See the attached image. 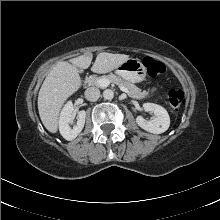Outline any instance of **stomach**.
<instances>
[{
	"label": "stomach",
	"mask_w": 220,
	"mask_h": 220,
	"mask_svg": "<svg viewBox=\"0 0 220 220\" xmlns=\"http://www.w3.org/2000/svg\"><path fill=\"white\" fill-rule=\"evenodd\" d=\"M123 79L132 82H142L146 77V68L139 59L129 58L116 70Z\"/></svg>",
	"instance_id": "obj_1"
}]
</instances>
